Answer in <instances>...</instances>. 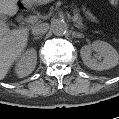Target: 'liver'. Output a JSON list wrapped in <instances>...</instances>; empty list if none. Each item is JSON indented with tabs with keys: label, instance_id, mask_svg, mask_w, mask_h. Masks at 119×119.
I'll list each match as a JSON object with an SVG mask.
<instances>
[{
	"label": "liver",
	"instance_id": "1",
	"mask_svg": "<svg viewBox=\"0 0 119 119\" xmlns=\"http://www.w3.org/2000/svg\"><path fill=\"white\" fill-rule=\"evenodd\" d=\"M19 0H0V16H14ZM31 3L32 0H22ZM28 43V29L10 31L0 22V80L4 79L13 63L20 57Z\"/></svg>",
	"mask_w": 119,
	"mask_h": 119
}]
</instances>
